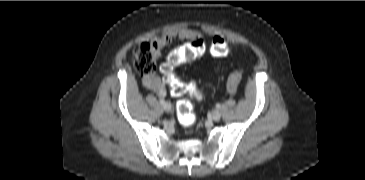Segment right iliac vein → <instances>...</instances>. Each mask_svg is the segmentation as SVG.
I'll return each instance as SVG.
<instances>
[{"mask_svg": "<svg viewBox=\"0 0 365 180\" xmlns=\"http://www.w3.org/2000/svg\"><path fill=\"white\" fill-rule=\"evenodd\" d=\"M163 106V109L166 111V112H170L171 109H172V106L169 102H164V104L162 105Z\"/></svg>", "mask_w": 365, "mask_h": 180, "instance_id": "1", "label": "right iliac vein"}]
</instances>
